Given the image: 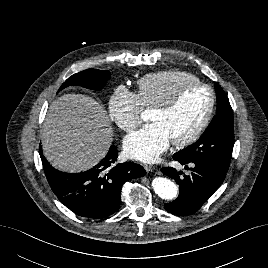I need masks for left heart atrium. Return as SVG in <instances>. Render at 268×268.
Masks as SVG:
<instances>
[{
    "label": "left heart atrium",
    "mask_w": 268,
    "mask_h": 268,
    "mask_svg": "<svg viewBox=\"0 0 268 268\" xmlns=\"http://www.w3.org/2000/svg\"><path fill=\"white\" fill-rule=\"evenodd\" d=\"M170 138L164 128L153 122L133 131L124 140L125 154L142 162H154L167 149Z\"/></svg>",
    "instance_id": "39dd6f15"
}]
</instances>
